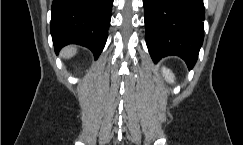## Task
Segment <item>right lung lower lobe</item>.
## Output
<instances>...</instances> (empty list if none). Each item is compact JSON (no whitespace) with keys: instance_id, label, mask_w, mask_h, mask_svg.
Listing matches in <instances>:
<instances>
[{"instance_id":"98d812e1","label":"right lung lower lobe","mask_w":243,"mask_h":145,"mask_svg":"<svg viewBox=\"0 0 243 145\" xmlns=\"http://www.w3.org/2000/svg\"><path fill=\"white\" fill-rule=\"evenodd\" d=\"M112 5L113 0H53L50 29L56 53L78 44L97 59L107 40Z\"/></svg>"}]
</instances>
